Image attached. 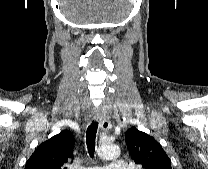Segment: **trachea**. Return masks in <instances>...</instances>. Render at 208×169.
<instances>
[{
  "mask_svg": "<svg viewBox=\"0 0 208 169\" xmlns=\"http://www.w3.org/2000/svg\"><path fill=\"white\" fill-rule=\"evenodd\" d=\"M98 129V122L92 121L91 125L87 128L86 131V143L88 148V153L90 157H94L95 152V139Z\"/></svg>",
  "mask_w": 208,
  "mask_h": 169,
  "instance_id": "obj_1",
  "label": "trachea"
}]
</instances>
